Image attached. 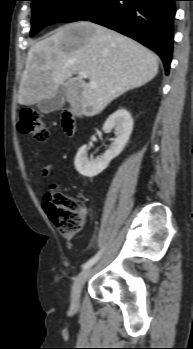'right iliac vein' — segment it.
<instances>
[{
	"mask_svg": "<svg viewBox=\"0 0 193 349\" xmlns=\"http://www.w3.org/2000/svg\"><path fill=\"white\" fill-rule=\"evenodd\" d=\"M91 274V268H87L82 271L75 279L72 292H71V303L74 308H79L80 306V294L81 290Z\"/></svg>",
	"mask_w": 193,
	"mask_h": 349,
	"instance_id": "1",
	"label": "right iliac vein"
}]
</instances>
